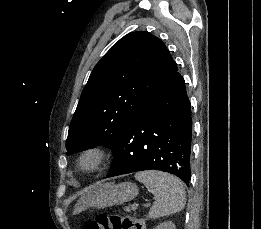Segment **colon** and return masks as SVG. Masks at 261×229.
<instances>
[{"label":"colon","mask_w":261,"mask_h":229,"mask_svg":"<svg viewBox=\"0 0 261 229\" xmlns=\"http://www.w3.org/2000/svg\"><path fill=\"white\" fill-rule=\"evenodd\" d=\"M83 229H140L137 220L121 212H101L88 220Z\"/></svg>","instance_id":"5ec220e1"}]
</instances>
